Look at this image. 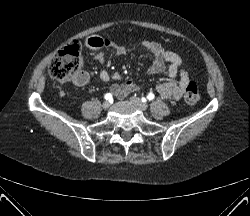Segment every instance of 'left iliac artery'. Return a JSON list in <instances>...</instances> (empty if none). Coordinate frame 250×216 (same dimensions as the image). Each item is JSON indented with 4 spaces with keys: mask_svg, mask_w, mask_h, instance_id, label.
I'll list each match as a JSON object with an SVG mask.
<instances>
[{
    "mask_svg": "<svg viewBox=\"0 0 250 216\" xmlns=\"http://www.w3.org/2000/svg\"><path fill=\"white\" fill-rule=\"evenodd\" d=\"M154 97H155V96H154L153 93H149V94L147 95V99H148V100H153ZM142 100L145 101V98H142Z\"/></svg>",
    "mask_w": 250,
    "mask_h": 216,
    "instance_id": "obj_1",
    "label": "left iliac artery"
}]
</instances>
